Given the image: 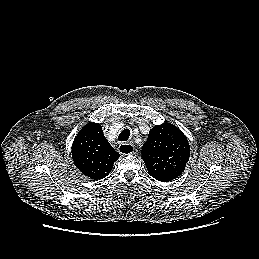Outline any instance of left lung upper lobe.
Returning a JSON list of instances; mask_svg holds the SVG:
<instances>
[{
	"label": "left lung upper lobe",
	"mask_w": 259,
	"mask_h": 259,
	"mask_svg": "<svg viewBox=\"0 0 259 259\" xmlns=\"http://www.w3.org/2000/svg\"><path fill=\"white\" fill-rule=\"evenodd\" d=\"M141 153L148 173L166 182L184 171L190 156V146L181 130L170 123H163L150 130Z\"/></svg>",
	"instance_id": "left-lung-upper-lobe-1"
}]
</instances>
